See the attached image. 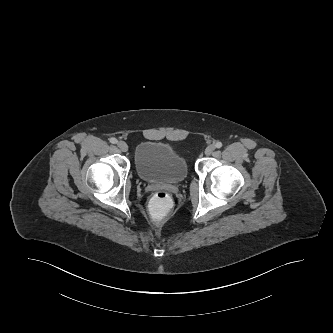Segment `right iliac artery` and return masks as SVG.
I'll return each instance as SVG.
<instances>
[{
    "label": "right iliac artery",
    "mask_w": 333,
    "mask_h": 333,
    "mask_svg": "<svg viewBox=\"0 0 333 333\" xmlns=\"http://www.w3.org/2000/svg\"><path fill=\"white\" fill-rule=\"evenodd\" d=\"M110 142H111L112 144H116V143H117V139H116V138H111V139H110Z\"/></svg>",
    "instance_id": "1"
}]
</instances>
